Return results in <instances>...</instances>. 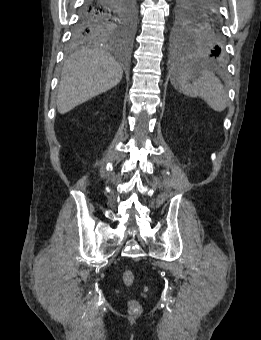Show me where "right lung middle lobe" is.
Returning <instances> with one entry per match:
<instances>
[{
  "label": "right lung middle lobe",
  "instance_id": "right-lung-middle-lobe-1",
  "mask_svg": "<svg viewBox=\"0 0 261 340\" xmlns=\"http://www.w3.org/2000/svg\"><path fill=\"white\" fill-rule=\"evenodd\" d=\"M135 23V0H126L125 7L119 8L116 14L102 15L85 25L76 24L72 33L71 45L112 40L128 41L133 35Z\"/></svg>",
  "mask_w": 261,
  "mask_h": 340
}]
</instances>
